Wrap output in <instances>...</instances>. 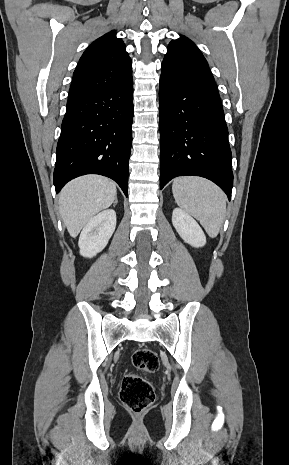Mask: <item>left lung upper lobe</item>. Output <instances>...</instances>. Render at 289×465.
I'll return each instance as SVG.
<instances>
[{"instance_id":"5c2ea615","label":"left lung upper lobe","mask_w":289,"mask_h":465,"mask_svg":"<svg viewBox=\"0 0 289 465\" xmlns=\"http://www.w3.org/2000/svg\"><path fill=\"white\" fill-rule=\"evenodd\" d=\"M162 72L214 79L201 51L185 36L169 43L162 62Z\"/></svg>"}]
</instances>
